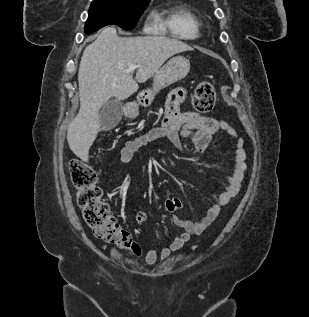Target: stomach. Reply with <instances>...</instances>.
I'll return each mask as SVG.
<instances>
[{"label": "stomach", "instance_id": "stomach-1", "mask_svg": "<svg viewBox=\"0 0 309 317\" xmlns=\"http://www.w3.org/2000/svg\"><path fill=\"white\" fill-rule=\"evenodd\" d=\"M190 70V62L184 56H175L171 58L155 74L151 89L142 90L137 96V103L133 107L126 109L125 114L128 118L134 119L139 114V105L149 107L153 102L155 95L169 85L184 79Z\"/></svg>", "mask_w": 309, "mask_h": 317}]
</instances>
